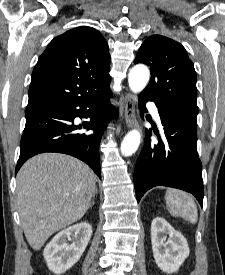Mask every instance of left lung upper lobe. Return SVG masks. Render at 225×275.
<instances>
[{
  "instance_id": "5c2ea615",
  "label": "left lung upper lobe",
  "mask_w": 225,
  "mask_h": 275,
  "mask_svg": "<svg viewBox=\"0 0 225 275\" xmlns=\"http://www.w3.org/2000/svg\"><path fill=\"white\" fill-rule=\"evenodd\" d=\"M134 63L150 66L151 80L141 93L161 107L197 118L196 72L184 47L153 35L141 45Z\"/></svg>"
}]
</instances>
